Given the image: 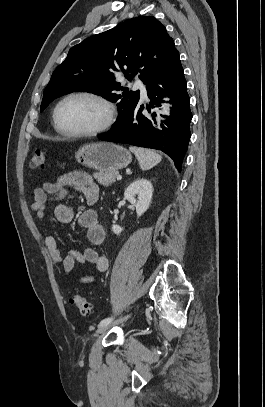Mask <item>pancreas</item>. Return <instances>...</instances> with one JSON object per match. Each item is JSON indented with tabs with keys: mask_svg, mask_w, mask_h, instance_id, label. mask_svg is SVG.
I'll use <instances>...</instances> for the list:
<instances>
[{
	"mask_svg": "<svg viewBox=\"0 0 265 407\" xmlns=\"http://www.w3.org/2000/svg\"><path fill=\"white\" fill-rule=\"evenodd\" d=\"M117 175L118 171H100L93 174L97 182L103 186H109L114 183Z\"/></svg>",
	"mask_w": 265,
	"mask_h": 407,
	"instance_id": "obj_1",
	"label": "pancreas"
}]
</instances>
